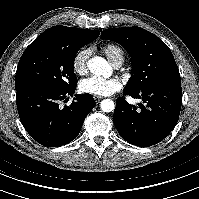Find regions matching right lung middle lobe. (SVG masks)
Masks as SVG:
<instances>
[{"mask_svg": "<svg viewBox=\"0 0 199 199\" xmlns=\"http://www.w3.org/2000/svg\"><path fill=\"white\" fill-rule=\"evenodd\" d=\"M87 44L88 42L64 44L38 37L20 58L15 77L16 91L35 88L64 91L75 87V54Z\"/></svg>", "mask_w": 199, "mask_h": 199, "instance_id": "right-lung-middle-lobe-1", "label": "right lung middle lobe"}]
</instances>
